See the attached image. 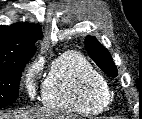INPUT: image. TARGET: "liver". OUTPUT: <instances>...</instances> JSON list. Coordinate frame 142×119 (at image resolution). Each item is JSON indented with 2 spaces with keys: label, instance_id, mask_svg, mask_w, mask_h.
Returning <instances> with one entry per match:
<instances>
[{
  "label": "liver",
  "instance_id": "1",
  "mask_svg": "<svg viewBox=\"0 0 142 119\" xmlns=\"http://www.w3.org/2000/svg\"><path fill=\"white\" fill-rule=\"evenodd\" d=\"M0 119H71V116L62 115L47 109L22 110L14 115L0 112Z\"/></svg>",
  "mask_w": 142,
  "mask_h": 119
}]
</instances>
